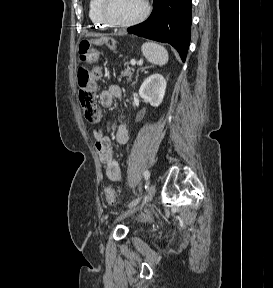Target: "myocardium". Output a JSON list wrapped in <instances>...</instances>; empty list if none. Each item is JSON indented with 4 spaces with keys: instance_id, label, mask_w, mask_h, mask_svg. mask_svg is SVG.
Segmentation results:
<instances>
[{
    "instance_id": "1",
    "label": "myocardium",
    "mask_w": 273,
    "mask_h": 288,
    "mask_svg": "<svg viewBox=\"0 0 273 288\" xmlns=\"http://www.w3.org/2000/svg\"><path fill=\"white\" fill-rule=\"evenodd\" d=\"M107 3H108V0H100L99 15L101 19L104 21V23L110 27L126 28V27L137 25L146 19L150 11V5H149L148 0H143L144 9L139 16L129 21H114L106 13Z\"/></svg>"
}]
</instances>
